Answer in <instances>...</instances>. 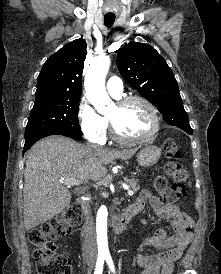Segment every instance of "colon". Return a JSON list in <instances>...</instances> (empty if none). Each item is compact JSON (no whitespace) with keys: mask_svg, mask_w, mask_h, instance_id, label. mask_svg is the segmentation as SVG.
<instances>
[{"mask_svg":"<svg viewBox=\"0 0 221 274\" xmlns=\"http://www.w3.org/2000/svg\"><path fill=\"white\" fill-rule=\"evenodd\" d=\"M163 149L166 157L165 172L172 179V183L168 185L164 177H158L155 180V187L163 201L171 205L184 195L188 173L179 162L180 151L174 140L167 139ZM81 218L80 205L73 203L60 216L29 232L28 238L34 246L33 258L38 274H71L69 258L56 254L53 240L69 235L80 224Z\"/></svg>","mask_w":221,"mask_h":274,"instance_id":"colon-1","label":"colon"}]
</instances>
